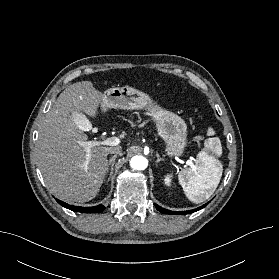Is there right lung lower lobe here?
I'll return each instance as SVG.
<instances>
[{"instance_id": "obj_1", "label": "right lung lower lobe", "mask_w": 279, "mask_h": 279, "mask_svg": "<svg viewBox=\"0 0 279 279\" xmlns=\"http://www.w3.org/2000/svg\"><path fill=\"white\" fill-rule=\"evenodd\" d=\"M56 201L62 205L63 207L65 208H68L72 211H76V212H85V213H97V212H101L105 209V207L100 204V205H97L95 207H79V206H72V205H69L63 201H60L58 199H56Z\"/></svg>"}]
</instances>
